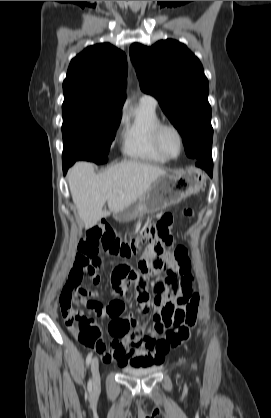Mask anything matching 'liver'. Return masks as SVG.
Listing matches in <instances>:
<instances>
[{
    "label": "liver",
    "mask_w": 271,
    "mask_h": 418,
    "mask_svg": "<svg viewBox=\"0 0 271 418\" xmlns=\"http://www.w3.org/2000/svg\"><path fill=\"white\" fill-rule=\"evenodd\" d=\"M166 173L155 165L125 160L97 175L93 163L81 161L70 168L68 182L80 219L89 229L131 205ZM106 202L109 210L103 209Z\"/></svg>",
    "instance_id": "1"
}]
</instances>
